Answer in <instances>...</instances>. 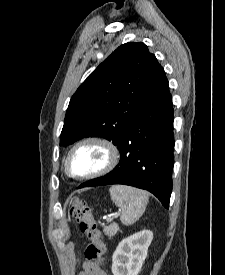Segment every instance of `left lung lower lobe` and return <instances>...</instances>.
<instances>
[{
    "label": "left lung lower lobe",
    "mask_w": 225,
    "mask_h": 275,
    "mask_svg": "<svg viewBox=\"0 0 225 275\" xmlns=\"http://www.w3.org/2000/svg\"><path fill=\"white\" fill-rule=\"evenodd\" d=\"M173 104L168 81L124 133L119 164L78 188L125 184L150 191L169 208L174 165Z\"/></svg>",
    "instance_id": "1"
}]
</instances>
